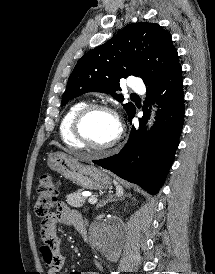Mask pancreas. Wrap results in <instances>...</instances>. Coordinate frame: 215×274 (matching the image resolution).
I'll return each instance as SVG.
<instances>
[{"label":"pancreas","instance_id":"obj_1","mask_svg":"<svg viewBox=\"0 0 215 274\" xmlns=\"http://www.w3.org/2000/svg\"><path fill=\"white\" fill-rule=\"evenodd\" d=\"M67 203L71 207L79 208L85 204L86 198L82 196V190L67 195Z\"/></svg>","mask_w":215,"mask_h":274}]
</instances>
